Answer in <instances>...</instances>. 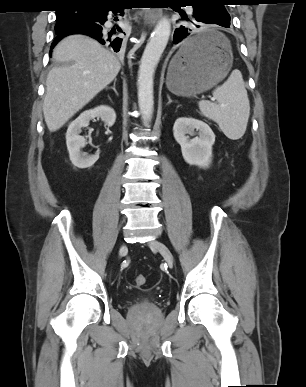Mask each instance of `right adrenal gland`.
<instances>
[{
    "mask_svg": "<svg viewBox=\"0 0 306 387\" xmlns=\"http://www.w3.org/2000/svg\"><path fill=\"white\" fill-rule=\"evenodd\" d=\"M116 79L114 80V83H113V87H110V89H112L115 93H116V95H118V92L116 91Z\"/></svg>",
    "mask_w": 306,
    "mask_h": 387,
    "instance_id": "right-adrenal-gland-1",
    "label": "right adrenal gland"
}]
</instances>
